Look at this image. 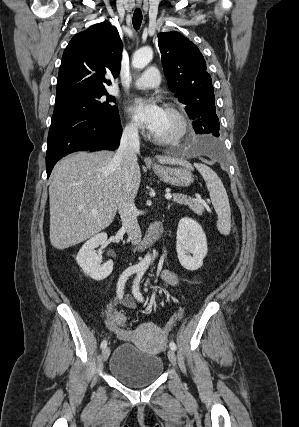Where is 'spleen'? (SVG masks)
<instances>
[{
  "label": "spleen",
  "mask_w": 299,
  "mask_h": 427,
  "mask_svg": "<svg viewBox=\"0 0 299 427\" xmlns=\"http://www.w3.org/2000/svg\"><path fill=\"white\" fill-rule=\"evenodd\" d=\"M194 166L206 182L212 204L218 215L217 228L221 234L228 235L231 230V209L223 183L207 165L195 163Z\"/></svg>",
  "instance_id": "spleen-1"
}]
</instances>
